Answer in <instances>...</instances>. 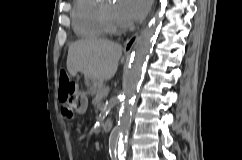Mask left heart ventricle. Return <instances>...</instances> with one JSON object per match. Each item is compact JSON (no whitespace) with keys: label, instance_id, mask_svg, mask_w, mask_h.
I'll return each instance as SVG.
<instances>
[{"label":"left heart ventricle","instance_id":"b2bd125f","mask_svg":"<svg viewBox=\"0 0 242 160\" xmlns=\"http://www.w3.org/2000/svg\"><path fill=\"white\" fill-rule=\"evenodd\" d=\"M101 7L103 8V10L105 11L109 21L117 26V27H122L124 26L122 24V22L119 20V18L117 17L116 14V3L111 2V1H106L104 2Z\"/></svg>","mask_w":242,"mask_h":160}]
</instances>
